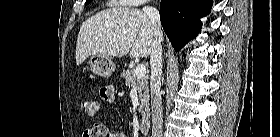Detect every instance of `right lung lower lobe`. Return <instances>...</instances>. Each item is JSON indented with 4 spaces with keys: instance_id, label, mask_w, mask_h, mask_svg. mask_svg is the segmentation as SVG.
<instances>
[{
    "instance_id": "98d812e1",
    "label": "right lung lower lobe",
    "mask_w": 280,
    "mask_h": 137,
    "mask_svg": "<svg viewBox=\"0 0 280 137\" xmlns=\"http://www.w3.org/2000/svg\"><path fill=\"white\" fill-rule=\"evenodd\" d=\"M211 5L212 0H161V24L175 51L197 35L198 19L210 12Z\"/></svg>"
}]
</instances>
